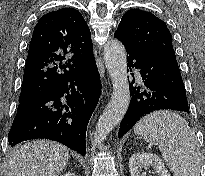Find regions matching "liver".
<instances>
[{"label": "liver", "mask_w": 205, "mask_h": 176, "mask_svg": "<svg viewBox=\"0 0 205 176\" xmlns=\"http://www.w3.org/2000/svg\"><path fill=\"white\" fill-rule=\"evenodd\" d=\"M69 159L68 149L56 142L35 140L11 153L8 176H59Z\"/></svg>", "instance_id": "obj_1"}]
</instances>
